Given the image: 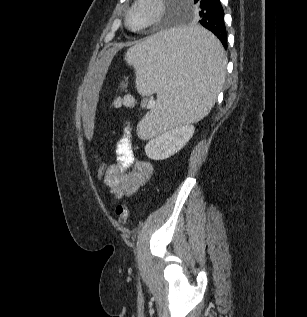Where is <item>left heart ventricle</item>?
Masks as SVG:
<instances>
[{"label": "left heart ventricle", "mask_w": 307, "mask_h": 317, "mask_svg": "<svg viewBox=\"0 0 307 317\" xmlns=\"http://www.w3.org/2000/svg\"><path fill=\"white\" fill-rule=\"evenodd\" d=\"M148 14L149 12L146 8L139 9L133 19L134 23L137 24L142 22L148 16Z\"/></svg>", "instance_id": "b2bd125f"}]
</instances>
